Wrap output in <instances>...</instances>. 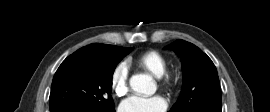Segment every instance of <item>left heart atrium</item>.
<instances>
[{
	"label": "left heart atrium",
	"instance_id": "obj_1",
	"mask_svg": "<svg viewBox=\"0 0 270 112\" xmlns=\"http://www.w3.org/2000/svg\"><path fill=\"white\" fill-rule=\"evenodd\" d=\"M166 108V101L159 95L131 96L121 102L119 112H165Z\"/></svg>",
	"mask_w": 270,
	"mask_h": 112
}]
</instances>
